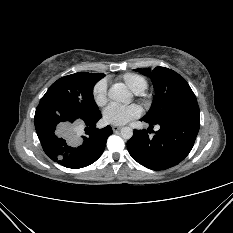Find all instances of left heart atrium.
Returning <instances> with one entry per match:
<instances>
[{"mask_svg": "<svg viewBox=\"0 0 233 233\" xmlns=\"http://www.w3.org/2000/svg\"><path fill=\"white\" fill-rule=\"evenodd\" d=\"M141 115V108L135 104H110L103 111V120L111 125H125Z\"/></svg>", "mask_w": 233, "mask_h": 233, "instance_id": "39dd6f15", "label": "left heart atrium"}]
</instances>
